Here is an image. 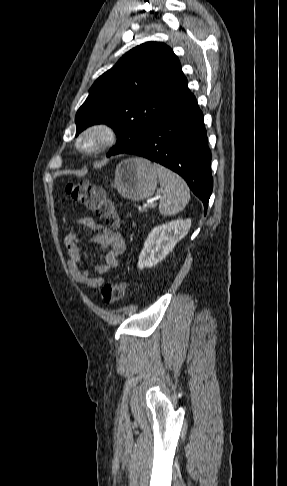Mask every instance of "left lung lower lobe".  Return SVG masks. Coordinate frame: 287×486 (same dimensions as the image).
Masks as SVG:
<instances>
[{
	"instance_id": "left-lung-lower-lobe-1",
	"label": "left lung lower lobe",
	"mask_w": 287,
	"mask_h": 486,
	"mask_svg": "<svg viewBox=\"0 0 287 486\" xmlns=\"http://www.w3.org/2000/svg\"><path fill=\"white\" fill-rule=\"evenodd\" d=\"M195 96L187 88L150 129L144 142L126 153L145 157L181 175L204 203L212 193L211 152Z\"/></svg>"
}]
</instances>
